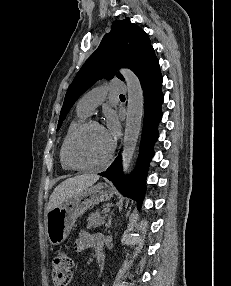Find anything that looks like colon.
<instances>
[{
  "mask_svg": "<svg viewBox=\"0 0 231 286\" xmlns=\"http://www.w3.org/2000/svg\"><path fill=\"white\" fill-rule=\"evenodd\" d=\"M73 269V261L65 252H59L52 262V280L55 286H68Z\"/></svg>",
  "mask_w": 231,
  "mask_h": 286,
  "instance_id": "colon-1",
  "label": "colon"
}]
</instances>
